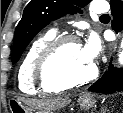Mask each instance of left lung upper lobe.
<instances>
[{
	"instance_id": "1",
	"label": "left lung upper lobe",
	"mask_w": 123,
	"mask_h": 113,
	"mask_svg": "<svg viewBox=\"0 0 123 113\" xmlns=\"http://www.w3.org/2000/svg\"><path fill=\"white\" fill-rule=\"evenodd\" d=\"M91 0H31L23 11V16L16 28L12 63H16L23 51L34 38L52 20L77 11Z\"/></svg>"
}]
</instances>
